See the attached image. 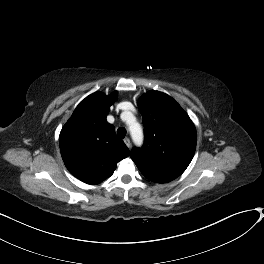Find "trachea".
<instances>
[{"mask_svg": "<svg viewBox=\"0 0 264 264\" xmlns=\"http://www.w3.org/2000/svg\"><path fill=\"white\" fill-rule=\"evenodd\" d=\"M126 129H124V128H119L118 130H117V135H118V137L120 138V139H123L125 136H126Z\"/></svg>", "mask_w": 264, "mask_h": 264, "instance_id": "obj_1", "label": "trachea"}]
</instances>
